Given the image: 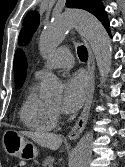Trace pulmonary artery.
Returning <instances> with one entry per match:
<instances>
[{"mask_svg": "<svg viewBox=\"0 0 125 167\" xmlns=\"http://www.w3.org/2000/svg\"><path fill=\"white\" fill-rule=\"evenodd\" d=\"M73 65V56L66 47L57 49L45 62V65L35 72L36 78H41L46 69L70 68Z\"/></svg>", "mask_w": 125, "mask_h": 167, "instance_id": "1", "label": "pulmonary artery"}]
</instances>
